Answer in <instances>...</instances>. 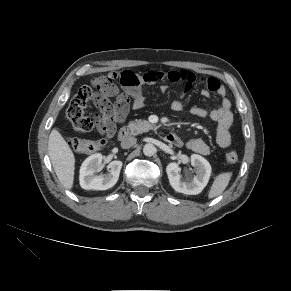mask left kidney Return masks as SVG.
Here are the masks:
<instances>
[{"label": "left kidney", "mask_w": 291, "mask_h": 291, "mask_svg": "<svg viewBox=\"0 0 291 291\" xmlns=\"http://www.w3.org/2000/svg\"><path fill=\"white\" fill-rule=\"evenodd\" d=\"M191 165L196 169V175L192 178L182 180L180 171L181 168L177 163H169L166 167L168 179L172 188L180 193L187 195L199 194L207 185L210 175V163L198 154L191 155Z\"/></svg>", "instance_id": "1"}]
</instances>
